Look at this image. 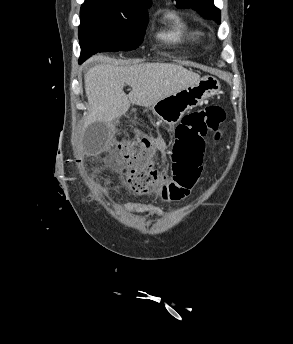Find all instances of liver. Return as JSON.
Listing matches in <instances>:
<instances>
[{"mask_svg": "<svg viewBox=\"0 0 293 344\" xmlns=\"http://www.w3.org/2000/svg\"><path fill=\"white\" fill-rule=\"evenodd\" d=\"M200 79L199 74L169 63L94 66L84 77L89 102L88 122H104L109 126L128 111L131 103L151 106ZM125 84L132 87L128 95L123 91Z\"/></svg>", "mask_w": 293, "mask_h": 344, "instance_id": "liver-1", "label": "liver"}]
</instances>
